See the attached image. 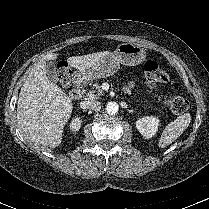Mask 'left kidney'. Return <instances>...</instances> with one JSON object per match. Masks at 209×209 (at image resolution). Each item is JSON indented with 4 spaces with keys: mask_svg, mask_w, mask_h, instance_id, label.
Masks as SVG:
<instances>
[{
    "mask_svg": "<svg viewBox=\"0 0 209 209\" xmlns=\"http://www.w3.org/2000/svg\"><path fill=\"white\" fill-rule=\"evenodd\" d=\"M159 119L153 116L143 117L136 121V128L145 138H151L158 130Z\"/></svg>",
    "mask_w": 209,
    "mask_h": 209,
    "instance_id": "obj_1",
    "label": "left kidney"
}]
</instances>
